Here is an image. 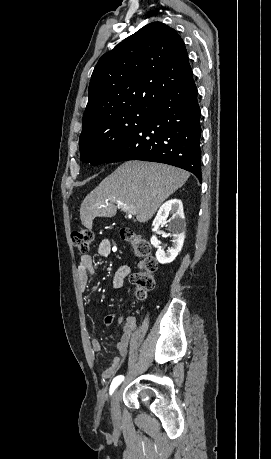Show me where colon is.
<instances>
[{"mask_svg": "<svg viewBox=\"0 0 271 459\" xmlns=\"http://www.w3.org/2000/svg\"><path fill=\"white\" fill-rule=\"evenodd\" d=\"M122 239L133 244L135 254L141 258V271L134 273L130 281L135 287V293L139 298H144L148 291L154 287L153 273L157 269V261L151 255V245L144 238L136 236L132 230L123 229ZM94 235L89 229H78L71 234L73 246L80 252L88 251Z\"/></svg>", "mask_w": 271, "mask_h": 459, "instance_id": "obj_1", "label": "colon"}]
</instances>
